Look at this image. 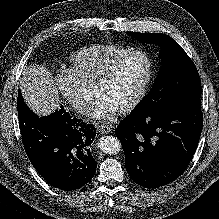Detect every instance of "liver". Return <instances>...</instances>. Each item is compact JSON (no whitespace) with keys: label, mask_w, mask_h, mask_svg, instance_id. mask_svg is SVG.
<instances>
[{"label":"liver","mask_w":219,"mask_h":219,"mask_svg":"<svg viewBox=\"0 0 219 219\" xmlns=\"http://www.w3.org/2000/svg\"><path fill=\"white\" fill-rule=\"evenodd\" d=\"M25 103L39 116H48L59 108L60 98L52 73L32 64L20 78Z\"/></svg>","instance_id":"obj_1"}]
</instances>
